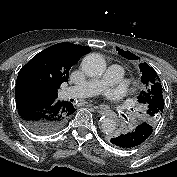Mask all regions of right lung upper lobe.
<instances>
[{
  "label": "right lung upper lobe",
  "instance_id": "right-lung-upper-lobe-1",
  "mask_svg": "<svg viewBox=\"0 0 177 177\" xmlns=\"http://www.w3.org/2000/svg\"><path fill=\"white\" fill-rule=\"evenodd\" d=\"M89 51L90 47L63 42L39 52L19 71L15 93L31 92L57 98L70 68Z\"/></svg>",
  "mask_w": 177,
  "mask_h": 177
}]
</instances>
